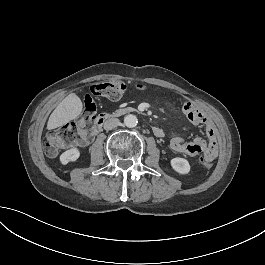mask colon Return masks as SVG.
<instances>
[{"instance_id":"5ec220e1","label":"colon","mask_w":265,"mask_h":265,"mask_svg":"<svg viewBox=\"0 0 265 265\" xmlns=\"http://www.w3.org/2000/svg\"><path fill=\"white\" fill-rule=\"evenodd\" d=\"M136 89L141 88L140 84L134 86ZM130 84L123 80H109L97 81L91 88L90 92L95 97H102L110 100H116L125 95L129 90ZM85 112H94L96 109L95 101L90 99L84 103ZM79 138L74 125L71 123L64 124L63 126L53 130L44 140V150L49 156H55L59 152V148L63 143L74 142ZM198 163L202 166H208L211 161L206 162L201 156Z\"/></svg>"}]
</instances>
